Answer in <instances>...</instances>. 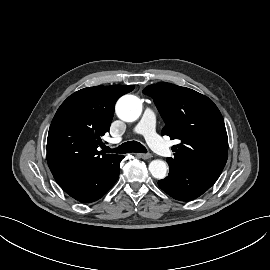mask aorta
I'll return each mask as SVG.
<instances>
[{"label":"aorta","mask_w":270,"mask_h":270,"mask_svg":"<svg viewBox=\"0 0 270 270\" xmlns=\"http://www.w3.org/2000/svg\"><path fill=\"white\" fill-rule=\"evenodd\" d=\"M141 112V101L134 95H125L116 104L117 116L125 122L137 120ZM149 172L156 179H164L167 173V164L162 160H153L149 164Z\"/></svg>","instance_id":"1"}]
</instances>
